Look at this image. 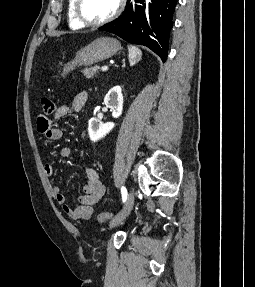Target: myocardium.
<instances>
[{
	"label": "myocardium",
	"mask_w": 255,
	"mask_h": 287,
	"mask_svg": "<svg viewBox=\"0 0 255 287\" xmlns=\"http://www.w3.org/2000/svg\"><path fill=\"white\" fill-rule=\"evenodd\" d=\"M89 33H95V32H89ZM109 33H117V32H109ZM89 39H100V38H89ZM107 39H120V38H107ZM119 48H130V47H119ZM136 48H145V47H136Z\"/></svg>",
	"instance_id": "1"
}]
</instances>
